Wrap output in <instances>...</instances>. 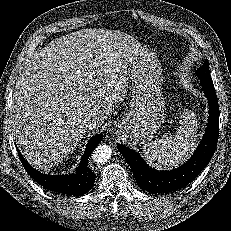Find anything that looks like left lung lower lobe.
<instances>
[{
	"mask_svg": "<svg viewBox=\"0 0 231 231\" xmlns=\"http://www.w3.org/2000/svg\"><path fill=\"white\" fill-rule=\"evenodd\" d=\"M200 83L209 103L208 125L197 150L185 164L171 171H157L150 168L137 152L118 145L142 190L156 194L180 190L192 182L211 160L218 141L219 106L213 81L200 79Z\"/></svg>",
	"mask_w": 231,
	"mask_h": 231,
	"instance_id": "left-lung-lower-lobe-1",
	"label": "left lung lower lobe"
}]
</instances>
